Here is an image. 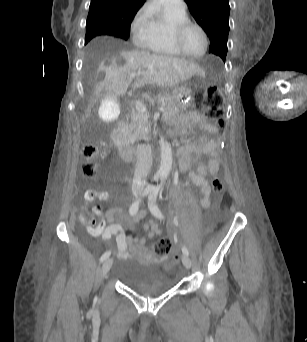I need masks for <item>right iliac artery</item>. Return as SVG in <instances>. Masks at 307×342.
<instances>
[{
	"label": "right iliac artery",
	"instance_id": "obj_1",
	"mask_svg": "<svg viewBox=\"0 0 307 342\" xmlns=\"http://www.w3.org/2000/svg\"><path fill=\"white\" fill-rule=\"evenodd\" d=\"M151 191L150 187H146L144 192H143V196H146L147 194H149ZM140 201L141 199H138L137 201H135L131 206H130V209H129V213L130 215H135L138 210H139V204H140ZM111 252L110 251H106L100 258V262H103L105 261L107 258H109Z\"/></svg>",
	"mask_w": 307,
	"mask_h": 342
}]
</instances>
